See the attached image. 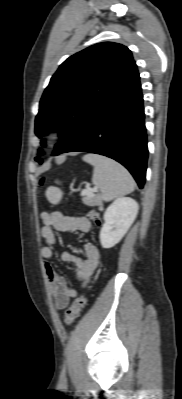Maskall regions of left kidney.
<instances>
[{"label":"left kidney","mask_w":182,"mask_h":399,"mask_svg":"<svg viewBox=\"0 0 182 399\" xmlns=\"http://www.w3.org/2000/svg\"><path fill=\"white\" fill-rule=\"evenodd\" d=\"M138 203L130 197L116 199L104 212V225L100 231V242L103 248L114 247L127 233L133 224Z\"/></svg>","instance_id":"1"}]
</instances>
